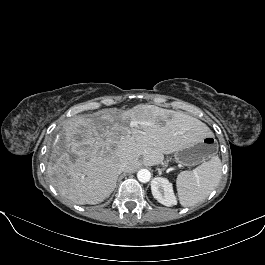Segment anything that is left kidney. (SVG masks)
I'll return each instance as SVG.
<instances>
[{
  "label": "left kidney",
  "instance_id": "5707ae66",
  "mask_svg": "<svg viewBox=\"0 0 265 265\" xmlns=\"http://www.w3.org/2000/svg\"><path fill=\"white\" fill-rule=\"evenodd\" d=\"M151 191L152 195L159 203L167 207L177 204L172 184L166 178H154L151 182Z\"/></svg>",
  "mask_w": 265,
  "mask_h": 265
}]
</instances>
